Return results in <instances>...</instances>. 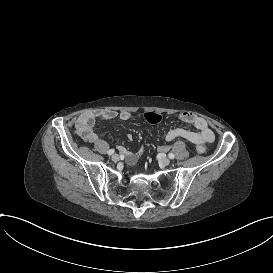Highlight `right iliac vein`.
Listing matches in <instances>:
<instances>
[{"label":"right iliac vein","mask_w":273,"mask_h":273,"mask_svg":"<svg viewBox=\"0 0 273 273\" xmlns=\"http://www.w3.org/2000/svg\"><path fill=\"white\" fill-rule=\"evenodd\" d=\"M111 158H112L113 161L116 162V161L119 160V155L118 154H113Z\"/></svg>","instance_id":"obj_1"}]
</instances>
